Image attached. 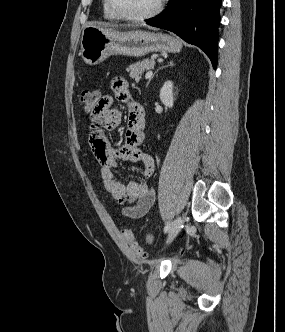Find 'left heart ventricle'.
<instances>
[{
    "mask_svg": "<svg viewBox=\"0 0 285 332\" xmlns=\"http://www.w3.org/2000/svg\"><path fill=\"white\" fill-rule=\"evenodd\" d=\"M119 11L128 16H140L151 12L158 0H114Z\"/></svg>",
    "mask_w": 285,
    "mask_h": 332,
    "instance_id": "1",
    "label": "left heart ventricle"
}]
</instances>
